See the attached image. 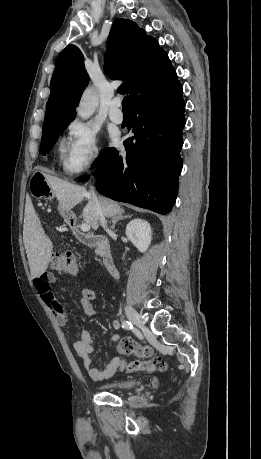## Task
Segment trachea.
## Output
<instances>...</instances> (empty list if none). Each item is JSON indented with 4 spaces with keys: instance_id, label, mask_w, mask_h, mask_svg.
I'll return each mask as SVG.
<instances>
[{
    "instance_id": "3493384b",
    "label": "trachea",
    "mask_w": 261,
    "mask_h": 459,
    "mask_svg": "<svg viewBox=\"0 0 261 459\" xmlns=\"http://www.w3.org/2000/svg\"><path fill=\"white\" fill-rule=\"evenodd\" d=\"M122 107L124 111H129V97L126 96L122 101Z\"/></svg>"
}]
</instances>
